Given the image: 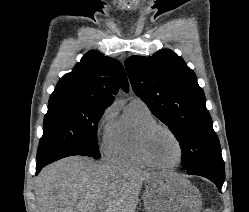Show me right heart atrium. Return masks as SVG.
Segmentation results:
<instances>
[{"mask_svg":"<svg viewBox=\"0 0 249 212\" xmlns=\"http://www.w3.org/2000/svg\"><path fill=\"white\" fill-rule=\"evenodd\" d=\"M116 111L115 104H111L107 106L102 113L100 114L97 124H96V133L101 140L103 147L106 146L108 141V128L110 125V121L114 116Z\"/></svg>","mask_w":249,"mask_h":212,"instance_id":"1","label":"right heart atrium"}]
</instances>
